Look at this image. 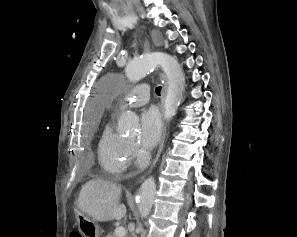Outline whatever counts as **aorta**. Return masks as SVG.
<instances>
[{
    "label": "aorta",
    "mask_w": 297,
    "mask_h": 237,
    "mask_svg": "<svg viewBox=\"0 0 297 237\" xmlns=\"http://www.w3.org/2000/svg\"><path fill=\"white\" fill-rule=\"evenodd\" d=\"M162 68L168 80V92L164 104V117L172 119L183 98L185 90V76L179 62L171 55L154 52L142 58L130 60L125 73L130 82H138L155 68ZM139 129V120L131 111L124 112L118 123L120 133L136 134ZM156 184L153 177L147 178L139 190L138 208L141 218H146L155 202Z\"/></svg>",
    "instance_id": "1"
}]
</instances>
